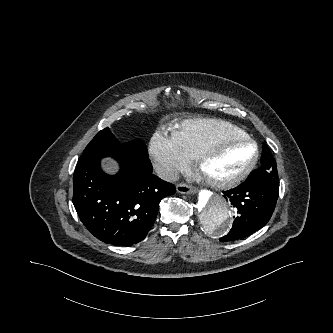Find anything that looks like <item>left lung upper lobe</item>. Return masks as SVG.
I'll return each instance as SVG.
<instances>
[{
  "instance_id": "5c2ea615",
  "label": "left lung upper lobe",
  "mask_w": 333,
  "mask_h": 333,
  "mask_svg": "<svg viewBox=\"0 0 333 333\" xmlns=\"http://www.w3.org/2000/svg\"><path fill=\"white\" fill-rule=\"evenodd\" d=\"M248 180H278L276 162L272 154L261 157V166L252 171L247 178Z\"/></svg>"
}]
</instances>
